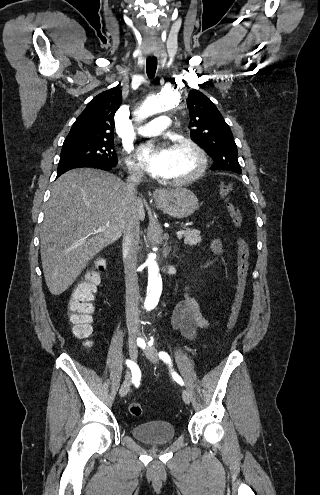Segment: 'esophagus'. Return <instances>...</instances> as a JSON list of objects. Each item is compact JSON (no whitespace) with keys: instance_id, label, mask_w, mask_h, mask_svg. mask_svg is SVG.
Masks as SVG:
<instances>
[{"instance_id":"34e87169","label":"esophagus","mask_w":320,"mask_h":495,"mask_svg":"<svg viewBox=\"0 0 320 495\" xmlns=\"http://www.w3.org/2000/svg\"><path fill=\"white\" fill-rule=\"evenodd\" d=\"M165 194H166V191L164 189L159 188V189H156L154 191L153 198L155 200H160V199H162L164 197Z\"/></svg>"}]
</instances>
